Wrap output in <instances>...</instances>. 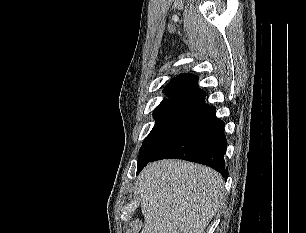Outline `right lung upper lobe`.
Wrapping results in <instances>:
<instances>
[{"label": "right lung upper lobe", "instance_id": "1", "mask_svg": "<svg viewBox=\"0 0 306 233\" xmlns=\"http://www.w3.org/2000/svg\"><path fill=\"white\" fill-rule=\"evenodd\" d=\"M198 77L193 74H180L173 78L164 89L168 99L165 102H182L199 106L204 109L210 107L205 103V92L198 87Z\"/></svg>", "mask_w": 306, "mask_h": 233}]
</instances>
